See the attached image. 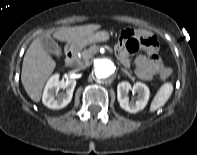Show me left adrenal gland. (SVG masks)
Listing matches in <instances>:
<instances>
[{"label":"left adrenal gland","instance_id":"left-adrenal-gland-1","mask_svg":"<svg viewBox=\"0 0 197 155\" xmlns=\"http://www.w3.org/2000/svg\"><path fill=\"white\" fill-rule=\"evenodd\" d=\"M121 70H122V72H124L127 76L130 77V73H129L126 69L121 68Z\"/></svg>","mask_w":197,"mask_h":155}]
</instances>
